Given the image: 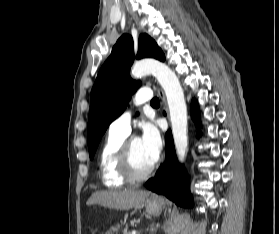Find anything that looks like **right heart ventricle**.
<instances>
[{
    "label": "right heart ventricle",
    "mask_w": 279,
    "mask_h": 234,
    "mask_svg": "<svg viewBox=\"0 0 279 234\" xmlns=\"http://www.w3.org/2000/svg\"><path fill=\"white\" fill-rule=\"evenodd\" d=\"M125 138V134L110 131L101 148L99 168L102 182L107 187H121L127 182L118 169L119 148Z\"/></svg>",
    "instance_id": "right-heart-ventricle-1"
}]
</instances>
